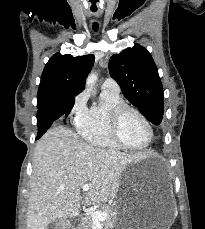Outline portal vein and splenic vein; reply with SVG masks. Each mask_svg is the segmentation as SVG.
I'll return each mask as SVG.
<instances>
[{
  "instance_id": "obj_1",
  "label": "portal vein and splenic vein",
  "mask_w": 205,
  "mask_h": 229,
  "mask_svg": "<svg viewBox=\"0 0 205 229\" xmlns=\"http://www.w3.org/2000/svg\"><path fill=\"white\" fill-rule=\"evenodd\" d=\"M90 188L89 184H84L82 186V191L87 192ZM108 218V214L106 212L95 211L92 213L93 223H99L100 221H104Z\"/></svg>"
}]
</instances>
